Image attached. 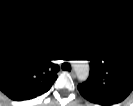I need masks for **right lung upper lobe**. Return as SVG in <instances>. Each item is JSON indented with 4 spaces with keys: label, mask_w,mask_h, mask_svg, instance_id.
<instances>
[{
    "label": "right lung upper lobe",
    "mask_w": 133,
    "mask_h": 106,
    "mask_svg": "<svg viewBox=\"0 0 133 106\" xmlns=\"http://www.w3.org/2000/svg\"><path fill=\"white\" fill-rule=\"evenodd\" d=\"M58 71L41 41L23 40L0 56V90L14 101L29 100L47 92Z\"/></svg>",
    "instance_id": "1"
}]
</instances>
